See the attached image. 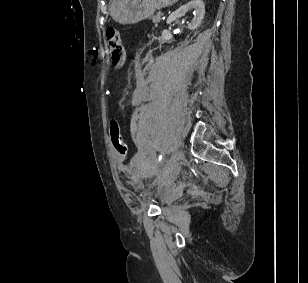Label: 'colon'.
I'll use <instances>...</instances> for the list:
<instances>
[{"label": "colon", "instance_id": "5ec220e1", "mask_svg": "<svg viewBox=\"0 0 308 283\" xmlns=\"http://www.w3.org/2000/svg\"><path fill=\"white\" fill-rule=\"evenodd\" d=\"M106 39L113 64H123L126 53L120 32L113 27H109L106 30ZM109 131L113 148L121 158H125L127 155V145L122 134L121 126L117 120H111Z\"/></svg>", "mask_w": 308, "mask_h": 283}]
</instances>
